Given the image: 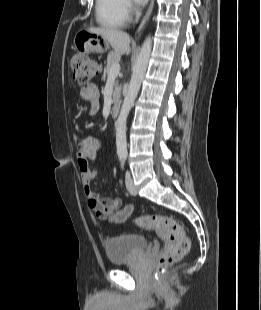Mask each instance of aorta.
<instances>
[{"label":"aorta","mask_w":261,"mask_h":310,"mask_svg":"<svg viewBox=\"0 0 261 310\" xmlns=\"http://www.w3.org/2000/svg\"><path fill=\"white\" fill-rule=\"evenodd\" d=\"M152 49V39L147 37L144 41L140 53L137 57L135 65L133 67L132 76L129 83L128 91L125 95L121 110L117 119L116 126V147L118 156L127 155V141H126V122L128 114L134 104V101L139 92L142 80L144 78L150 53Z\"/></svg>","instance_id":"1"}]
</instances>
